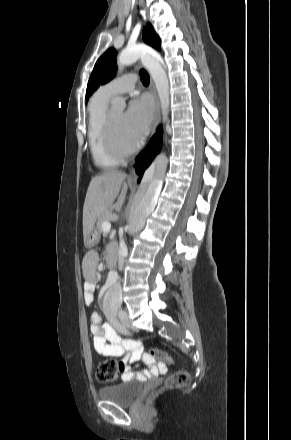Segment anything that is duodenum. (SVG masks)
Listing matches in <instances>:
<instances>
[{"instance_id": "1", "label": "duodenum", "mask_w": 291, "mask_h": 440, "mask_svg": "<svg viewBox=\"0 0 291 440\" xmlns=\"http://www.w3.org/2000/svg\"><path fill=\"white\" fill-rule=\"evenodd\" d=\"M105 258H106V262H107V264H108V267H109V269L110 270H113L114 269V266H115V264H116V250L115 249H110L107 253H106V255H105Z\"/></svg>"}]
</instances>
